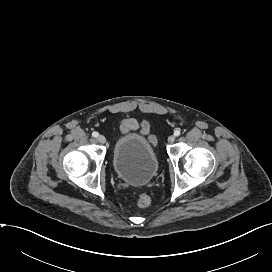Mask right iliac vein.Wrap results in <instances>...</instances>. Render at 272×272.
Returning a JSON list of instances; mask_svg holds the SVG:
<instances>
[{
	"label": "right iliac vein",
	"instance_id": "obj_1",
	"mask_svg": "<svg viewBox=\"0 0 272 272\" xmlns=\"http://www.w3.org/2000/svg\"><path fill=\"white\" fill-rule=\"evenodd\" d=\"M97 140L101 144H104L106 142V138L103 135H99Z\"/></svg>",
	"mask_w": 272,
	"mask_h": 272
}]
</instances>
